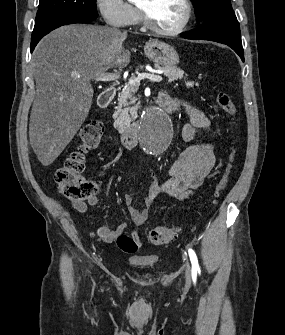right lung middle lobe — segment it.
Wrapping results in <instances>:
<instances>
[{"instance_id": "right-lung-middle-lobe-1", "label": "right lung middle lobe", "mask_w": 285, "mask_h": 335, "mask_svg": "<svg viewBox=\"0 0 285 335\" xmlns=\"http://www.w3.org/2000/svg\"><path fill=\"white\" fill-rule=\"evenodd\" d=\"M59 14H82L97 18L93 0H40L35 23Z\"/></svg>"}]
</instances>
